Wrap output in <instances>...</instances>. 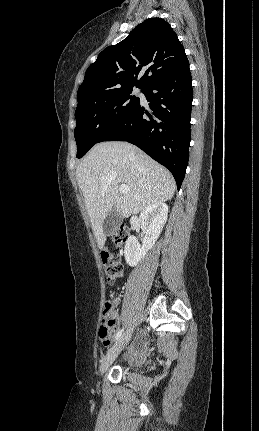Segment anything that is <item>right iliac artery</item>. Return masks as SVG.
Instances as JSON below:
<instances>
[{
  "label": "right iliac artery",
  "instance_id": "1",
  "mask_svg": "<svg viewBox=\"0 0 259 431\" xmlns=\"http://www.w3.org/2000/svg\"><path fill=\"white\" fill-rule=\"evenodd\" d=\"M123 331H124L123 328L118 331V333L116 334V337H115V341H117V340L120 339V337L122 336Z\"/></svg>",
  "mask_w": 259,
  "mask_h": 431
}]
</instances>
